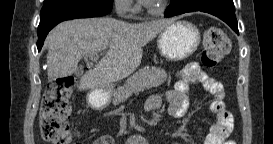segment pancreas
<instances>
[{"label": "pancreas", "mask_w": 273, "mask_h": 144, "mask_svg": "<svg viewBox=\"0 0 273 144\" xmlns=\"http://www.w3.org/2000/svg\"><path fill=\"white\" fill-rule=\"evenodd\" d=\"M167 80V73L162 68L144 67L127 79L123 86H119L113 93V102L126 101L133 92L145 88L158 87Z\"/></svg>", "instance_id": "1"}]
</instances>
